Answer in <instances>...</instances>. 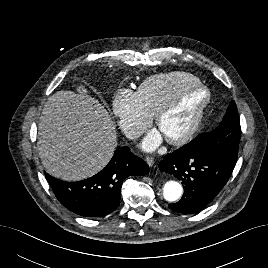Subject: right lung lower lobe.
<instances>
[{
	"mask_svg": "<svg viewBox=\"0 0 268 268\" xmlns=\"http://www.w3.org/2000/svg\"><path fill=\"white\" fill-rule=\"evenodd\" d=\"M149 167L127 147H118L108 165L91 178L65 182L44 172L60 203L84 217H102L118 208L125 178L146 175Z\"/></svg>",
	"mask_w": 268,
	"mask_h": 268,
	"instance_id": "98d812e1",
	"label": "right lung lower lobe"
}]
</instances>
